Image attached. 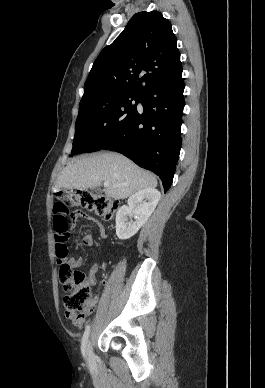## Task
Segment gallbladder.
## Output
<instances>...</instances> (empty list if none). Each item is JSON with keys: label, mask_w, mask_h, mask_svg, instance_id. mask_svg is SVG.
Segmentation results:
<instances>
[{"label": "gallbladder", "mask_w": 265, "mask_h": 388, "mask_svg": "<svg viewBox=\"0 0 265 388\" xmlns=\"http://www.w3.org/2000/svg\"><path fill=\"white\" fill-rule=\"evenodd\" d=\"M95 190H97V192H100V190H98V188H95Z\"/></svg>", "instance_id": "bac80fb5"}]
</instances>
